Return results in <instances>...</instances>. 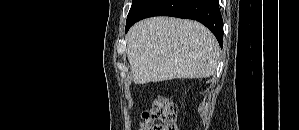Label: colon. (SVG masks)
Listing matches in <instances>:
<instances>
[{
    "label": "colon",
    "mask_w": 299,
    "mask_h": 130,
    "mask_svg": "<svg viewBox=\"0 0 299 130\" xmlns=\"http://www.w3.org/2000/svg\"><path fill=\"white\" fill-rule=\"evenodd\" d=\"M177 105L170 97H157L150 110L144 112V130H177Z\"/></svg>",
    "instance_id": "obj_1"
}]
</instances>
